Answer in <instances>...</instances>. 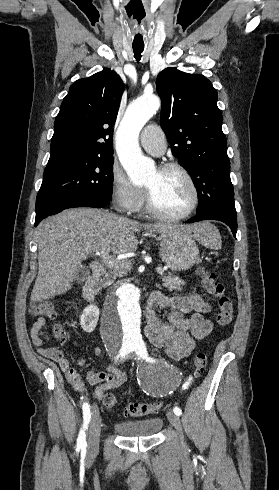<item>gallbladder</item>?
Instances as JSON below:
<instances>
[{
  "label": "gallbladder",
  "mask_w": 279,
  "mask_h": 490,
  "mask_svg": "<svg viewBox=\"0 0 279 490\" xmlns=\"http://www.w3.org/2000/svg\"><path fill=\"white\" fill-rule=\"evenodd\" d=\"M88 276H90V272L88 270V268H85V266H83V268H79L78 270V274L75 278L76 282H78V284H83V282H85L86 278H88Z\"/></svg>",
  "instance_id": "obj_1"
}]
</instances>
